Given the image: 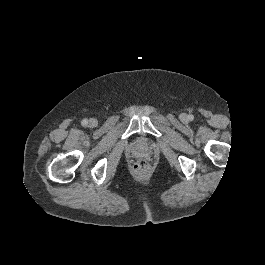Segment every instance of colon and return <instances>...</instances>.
<instances>
[{
    "label": "colon",
    "instance_id": "colon-1",
    "mask_svg": "<svg viewBox=\"0 0 265 265\" xmlns=\"http://www.w3.org/2000/svg\"><path fill=\"white\" fill-rule=\"evenodd\" d=\"M148 163L144 160H139L134 165V170L139 173H143L148 170Z\"/></svg>",
    "mask_w": 265,
    "mask_h": 265
}]
</instances>
